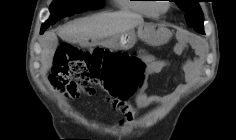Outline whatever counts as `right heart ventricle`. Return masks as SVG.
<instances>
[{
  "mask_svg": "<svg viewBox=\"0 0 236 140\" xmlns=\"http://www.w3.org/2000/svg\"><path fill=\"white\" fill-rule=\"evenodd\" d=\"M149 1L153 0H118L117 3L122 10L132 11L145 17H157L156 5Z\"/></svg>",
  "mask_w": 236,
  "mask_h": 140,
  "instance_id": "obj_1",
  "label": "right heart ventricle"
}]
</instances>
